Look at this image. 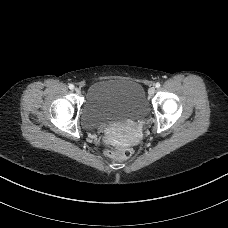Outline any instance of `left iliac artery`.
<instances>
[{
  "label": "left iliac artery",
  "instance_id": "44dca946",
  "mask_svg": "<svg viewBox=\"0 0 228 228\" xmlns=\"http://www.w3.org/2000/svg\"><path fill=\"white\" fill-rule=\"evenodd\" d=\"M155 87H156V88H159V87H160V83L157 82V83L155 84Z\"/></svg>",
  "mask_w": 228,
  "mask_h": 228
}]
</instances>
